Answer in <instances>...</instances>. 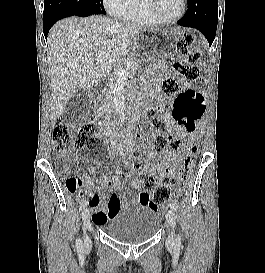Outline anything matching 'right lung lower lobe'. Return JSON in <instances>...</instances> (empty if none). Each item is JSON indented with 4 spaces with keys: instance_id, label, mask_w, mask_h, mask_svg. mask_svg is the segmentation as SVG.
<instances>
[{
    "instance_id": "1",
    "label": "right lung lower lobe",
    "mask_w": 265,
    "mask_h": 273,
    "mask_svg": "<svg viewBox=\"0 0 265 273\" xmlns=\"http://www.w3.org/2000/svg\"><path fill=\"white\" fill-rule=\"evenodd\" d=\"M70 16H74V14L67 13V12H58V13L43 17V32H44L45 38H47V34L49 30L55 22H57L58 20L62 18L70 17Z\"/></svg>"
}]
</instances>
